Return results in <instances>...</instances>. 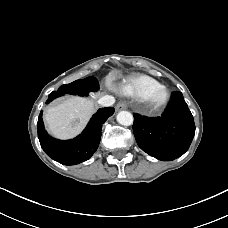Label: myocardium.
<instances>
[{
	"mask_svg": "<svg viewBox=\"0 0 228 228\" xmlns=\"http://www.w3.org/2000/svg\"><path fill=\"white\" fill-rule=\"evenodd\" d=\"M159 94L161 95V98L157 100L156 97ZM143 100L150 111L159 112L168 105L170 100V92L165 86L160 85L151 89Z\"/></svg>",
	"mask_w": 228,
	"mask_h": 228,
	"instance_id": "obj_1",
	"label": "myocardium"
}]
</instances>
